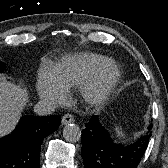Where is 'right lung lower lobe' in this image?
I'll return each instance as SVG.
<instances>
[{"instance_id": "1", "label": "right lung lower lobe", "mask_w": 168, "mask_h": 168, "mask_svg": "<svg viewBox=\"0 0 168 168\" xmlns=\"http://www.w3.org/2000/svg\"><path fill=\"white\" fill-rule=\"evenodd\" d=\"M60 122L58 116H23L11 134L0 138V168H39L41 144Z\"/></svg>"}]
</instances>
